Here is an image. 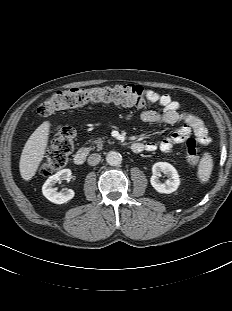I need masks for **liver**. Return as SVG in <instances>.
<instances>
[{"label": "liver", "mask_w": 232, "mask_h": 311, "mask_svg": "<svg viewBox=\"0 0 232 311\" xmlns=\"http://www.w3.org/2000/svg\"><path fill=\"white\" fill-rule=\"evenodd\" d=\"M50 122H43L27 140L19 162L21 177L29 181L37 172L48 144Z\"/></svg>", "instance_id": "1"}]
</instances>
